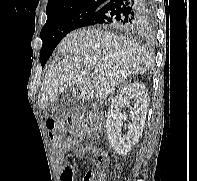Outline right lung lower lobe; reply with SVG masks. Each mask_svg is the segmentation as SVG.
<instances>
[{
  "mask_svg": "<svg viewBox=\"0 0 197 181\" xmlns=\"http://www.w3.org/2000/svg\"><path fill=\"white\" fill-rule=\"evenodd\" d=\"M153 13L154 0H109L88 16L79 28L105 25L128 31L139 30L153 17Z\"/></svg>",
  "mask_w": 197,
  "mask_h": 181,
  "instance_id": "1",
  "label": "right lung lower lobe"
}]
</instances>
